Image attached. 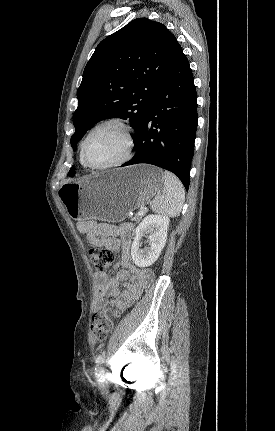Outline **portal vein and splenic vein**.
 Wrapping results in <instances>:
<instances>
[{
	"label": "portal vein and splenic vein",
	"mask_w": 275,
	"mask_h": 431,
	"mask_svg": "<svg viewBox=\"0 0 275 431\" xmlns=\"http://www.w3.org/2000/svg\"><path fill=\"white\" fill-rule=\"evenodd\" d=\"M146 211H147V207H142V208L139 210L138 215H143Z\"/></svg>",
	"instance_id": "18ae733b"
}]
</instances>
